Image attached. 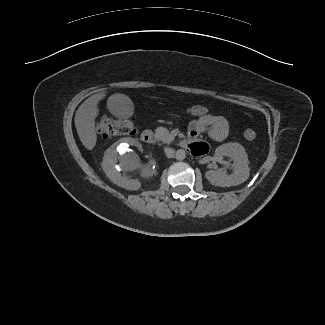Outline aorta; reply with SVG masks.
<instances>
[{
    "label": "aorta",
    "instance_id": "obj_1",
    "mask_svg": "<svg viewBox=\"0 0 325 325\" xmlns=\"http://www.w3.org/2000/svg\"><path fill=\"white\" fill-rule=\"evenodd\" d=\"M185 157H186V152H185V150H183V149H179V150H177V152H176V159H177V160L182 161V160L185 159Z\"/></svg>",
    "mask_w": 325,
    "mask_h": 325
}]
</instances>
